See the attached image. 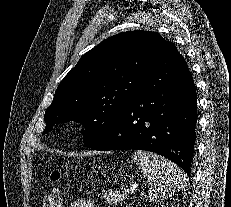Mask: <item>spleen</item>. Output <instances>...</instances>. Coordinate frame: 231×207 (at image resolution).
Segmentation results:
<instances>
[{
	"instance_id": "obj_1",
	"label": "spleen",
	"mask_w": 231,
	"mask_h": 207,
	"mask_svg": "<svg viewBox=\"0 0 231 207\" xmlns=\"http://www.w3.org/2000/svg\"><path fill=\"white\" fill-rule=\"evenodd\" d=\"M134 160L148 182V194L151 202H159L172 193L183 190L187 176L172 162L152 152L137 150Z\"/></svg>"
}]
</instances>
